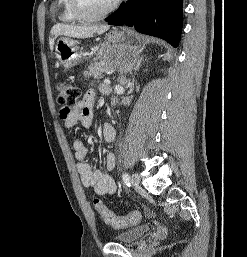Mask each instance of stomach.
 <instances>
[{"mask_svg": "<svg viewBox=\"0 0 247 257\" xmlns=\"http://www.w3.org/2000/svg\"><path fill=\"white\" fill-rule=\"evenodd\" d=\"M131 35L124 30L114 29L106 34L100 48V59L111 63L120 70L130 71L138 63V51L132 45ZM76 40L61 37L55 45L56 57L65 68L79 64L82 56Z\"/></svg>", "mask_w": 247, "mask_h": 257, "instance_id": "stomach-1", "label": "stomach"}]
</instances>
